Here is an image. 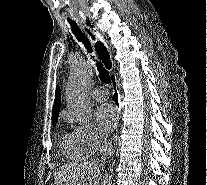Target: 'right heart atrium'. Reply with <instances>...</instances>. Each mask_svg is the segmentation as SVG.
Listing matches in <instances>:
<instances>
[{"label":"right heart atrium","mask_w":207,"mask_h":185,"mask_svg":"<svg viewBox=\"0 0 207 185\" xmlns=\"http://www.w3.org/2000/svg\"><path fill=\"white\" fill-rule=\"evenodd\" d=\"M64 119L68 122L75 121L69 114H65ZM74 133L94 151L101 149L107 142V136L91 122H77Z\"/></svg>","instance_id":"right-heart-atrium-1"}]
</instances>
